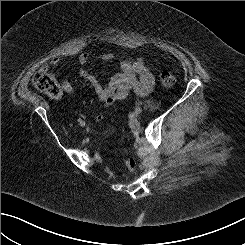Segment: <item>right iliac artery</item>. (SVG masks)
I'll use <instances>...</instances> for the list:
<instances>
[{
    "label": "right iliac artery",
    "instance_id": "obj_1",
    "mask_svg": "<svg viewBox=\"0 0 245 245\" xmlns=\"http://www.w3.org/2000/svg\"><path fill=\"white\" fill-rule=\"evenodd\" d=\"M78 122L81 124L83 122V120L81 118H79Z\"/></svg>",
    "mask_w": 245,
    "mask_h": 245
}]
</instances>
